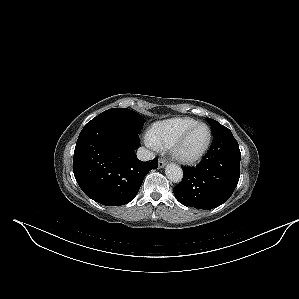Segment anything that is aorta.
<instances>
[{"label":"aorta","instance_id":"aorta-1","mask_svg":"<svg viewBox=\"0 0 299 299\" xmlns=\"http://www.w3.org/2000/svg\"><path fill=\"white\" fill-rule=\"evenodd\" d=\"M165 174H166L167 178L174 183L181 182V180L183 178L182 169L178 165L173 164V163L168 164L166 166Z\"/></svg>","mask_w":299,"mask_h":299}]
</instances>
